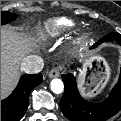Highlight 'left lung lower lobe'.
Instances as JSON below:
<instances>
[{"label":"left lung lower lobe","mask_w":121,"mask_h":121,"mask_svg":"<svg viewBox=\"0 0 121 121\" xmlns=\"http://www.w3.org/2000/svg\"><path fill=\"white\" fill-rule=\"evenodd\" d=\"M110 40H114L121 45V34L109 33L95 43L91 49ZM62 80L65 91L60 100V108L71 121H105L121 109V73L109 97L101 103H90L84 100L79 94L76 79L72 74H63Z\"/></svg>","instance_id":"obj_1"}]
</instances>
